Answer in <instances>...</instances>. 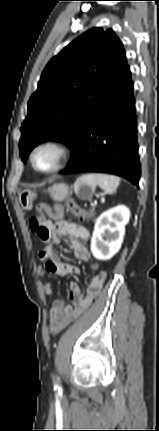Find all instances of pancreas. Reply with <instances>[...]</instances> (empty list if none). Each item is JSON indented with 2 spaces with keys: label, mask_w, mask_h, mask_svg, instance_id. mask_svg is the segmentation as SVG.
I'll use <instances>...</instances> for the list:
<instances>
[{
  "label": "pancreas",
  "mask_w": 159,
  "mask_h": 431,
  "mask_svg": "<svg viewBox=\"0 0 159 431\" xmlns=\"http://www.w3.org/2000/svg\"><path fill=\"white\" fill-rule=\"evenodd\" d=\"M93 216H94V209H91L90 212L85 217L90 218Z\"/></svg>",
  "instance_id": "cf45deb5"
}]
</instances>
